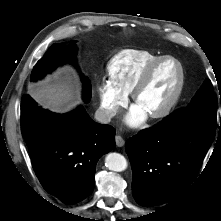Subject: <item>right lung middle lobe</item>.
Masks as SVG:
<instances>
[{
	"mask_svg": "<svg viewBox=\"0 0 221 221\" xmlns=\"http://www.w3.org/2000/svg\"><path fill=\"white\" fill-rule=\"evenodd\" d=\"M74 42V41H73ZM76 54V46L74 44L65 46V44H53L44 57L38 61L31 73V80H36L44 76V73L51 72L56 66L63 64L65 61L73 60ZM84 82V99L89 101L92 94V88L89 80L83 78Z\"/></svg>",
	"mask_w": 221,
	"mask_h": 221,
	"instance_id": "right-lung-middle-lobe-1",
	"label": "right lung middle lobe"
}]
</instances>
